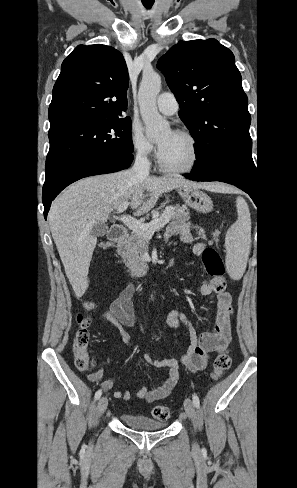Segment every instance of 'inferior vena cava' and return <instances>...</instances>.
I'll use <instances>...</instances> for the list:
<instances>
[{"instance_id":"1","label":"inferior vena cava","mask_w":297,"mask_h":488,"mask_svg":"<svg viewBox=\"0 0 297 488\" xmlns=\"http://www.w3.org/2000/svg\"><path fill=\"white\" fill-rule=\"evenodd\" d=\"M132 170L141 177L149 175L150 162L143 151L137 153Z\"/></svg>"}]
</instances>
